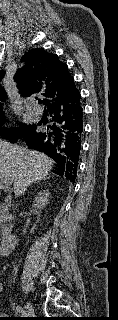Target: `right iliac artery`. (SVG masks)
I'll return each mask as SVG.
<instances>
[{"mask_svg": "<svg viewBox=\"0 0 118 320\" xmlns=\"http://www.w3.org/2000/svg\"><path fill=\"white\" fill-rule=\"evenodd\" d=\"M16 310H17V312H19V313L25 314V311L23 310V308H22L21 306H17V307H16Z\"/></svg>", "mask_w": 118, "mask_h": 320, "instance_id": "1", "label": "right iliac artery"}]
</instances>
